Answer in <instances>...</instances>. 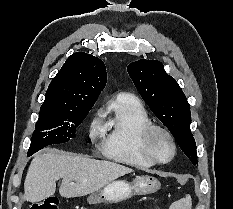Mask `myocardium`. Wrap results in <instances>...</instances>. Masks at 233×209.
I'll return each mask as SVG.
<instances>
[{
	"label": "myocardium",
	"instance_id": "obj_1",
	"mask_svg": "<svg viewBox=\"0 0 233 209\" xmlns=\"http://www.w3.org/2000/svg\"><path fill=\"white\" fill-rule=\"evenodd\" d=\"M156 134H163L170 141L172 152H171L170 157L166 160L158 159L154 155V153L151 149V143H152V140ZM140 146H141V150L146 158H148L154 164H160V165H164V164L171 162L173 160V158L175 157L176 150H177L176 141H175L173 134L167 128L160 126V125H155V124H151V125L147 126L142 131L141 139H140Z\"/></svg>",
	"mask_w": 233,
	"mask_h": 209
}]
</instances>
